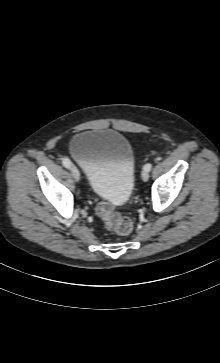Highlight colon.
I'll return each mask as SVG.
<instances>
[{
    "mask_svg": "<svg viewBox=\"0 0 220 363\" xmlns=\"http://www.w3.org/2000/svg\"><path fill=\"white\" fill-rule=\"evenodd\" d=\"M97 214L103 219L108 229L120 235L129 234L133 229V222L129 217L116 212L106 202H99L96 207Z\"/></svg>",
    "mask_w": 220,
    "mask_h": 363,
    "instance_id": "5ec220e1",
    "label": "colon"
}]
</instances>
